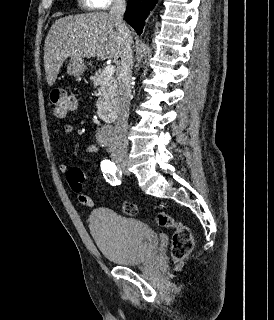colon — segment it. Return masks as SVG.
<instances>
[{
  "mask_svg": "<svg viewBox=\"0 0 274 320\" xmlns=\"http://www.w3.org/2000/svg\"><path fill=\"white\" fill-rule=\"evenodd\" d=\"M54 118L63 120L76 109L75 100L66 93L64 88H54L49 94ZM66 179L70 187L77 193L82 189V183L87 181V176L77 167H72L66 172ZM124 215L135 216L138 208L135 204L124 201L121 203ZM160 225L165 228H174L172 256L176 262L183 261L194 247L193 237L190 229L182 222H177L169 214L159 216Z\"/></svg>",
  "mask_w": 274,
  "mask_h": 320,
  "instance_id": "obj_1",
  "label": "colon"
}]
</instances>
